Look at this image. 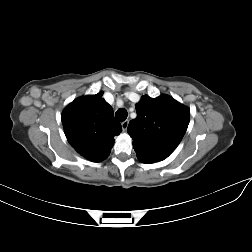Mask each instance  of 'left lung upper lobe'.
Segmentation results:
<instances>
[{"label":"left lung upper lobe","mask_w":252,"mask_h":252,"mask_svg":"<svg viewBox=\"0 0 252 252\" xmlns=\"http://www.w3.org/2000/svg\"><path fill=\"white\" fill-rule=\"evenodd\" d=\"M136 112L127 132L138 159L150 163L166 159L187 130L190 110L168 95H144L136 104Z\"/></svg>","instance_id":"obj_1"}]
</instances>
